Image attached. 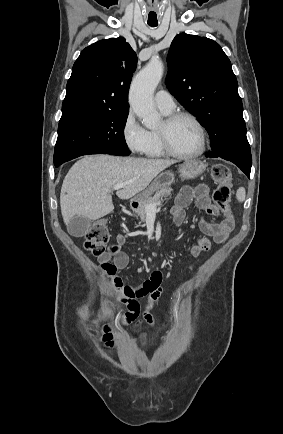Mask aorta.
Listing matches in <instances>:
<instances>
[{
    "instance_id": "762f6f07",
    "label": "aorta",
    "mask_w": 283,
    "mask_h": 434,
    "mask_svg": "<svg viewBox=\"0 0 283 434\" xmlns=\"http://www.w3.org/2000/svg\"><path fill=\"white\" fill-rule=\"evenodd\" d=\"M163 71V63L157 58H152L135 76L129 91L131 108L149 129L156 128L160 124V115L156 111L153 95L162 79Z\"/></svg>"
}]
</instances>
